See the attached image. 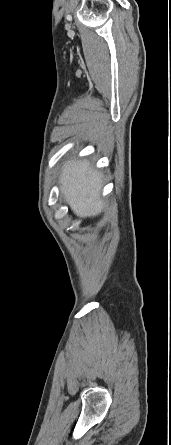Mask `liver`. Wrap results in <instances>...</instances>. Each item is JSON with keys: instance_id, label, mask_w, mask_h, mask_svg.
<instances>
[{"instance_id": "1", "label": "liver", "mask_w": 171, "mask_h": 445, "mask_svg": "<svg viewBox=\"0 0 171 445\" xmlns=\"http://www.w3.org/2000/svg\"><path fill=\"white\" fill-rule=\"evenodd\" d=\"M61 192L73 212L80 217L101 213L104 203L99 200L101 175L87 160H71L64 164L60 174Z\"/></svg>"}]
</instances>
